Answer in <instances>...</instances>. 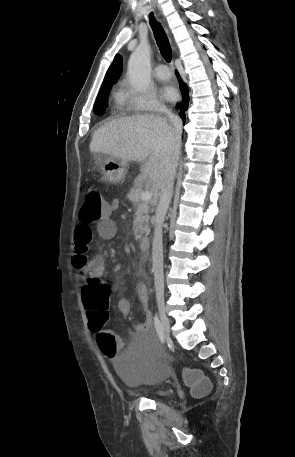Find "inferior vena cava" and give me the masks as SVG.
Returning <instances> with one entry per match:
<instances>
[{"label":"inferior vena cava","instance_id":"1","mask_svg":"<svg viewBox=\"0 0 295 457\" xmlns=\"http://www.w3.org/2000/svg\"><path fill=\"white\" fill-rule=\"evenodd\" d=\"M165 114L169 118L175 130V139L180 141L181 121L170 111ZM179 150L177 149L172 160L167 164L161 186L160 198L156 208L155 230L152 245V268L154 272V283L157 298L164 297V273H163V245H162V224L164 222L174 187V179L178 163Z\"/></svg>","mask_w":295,"mask_h":457}]
</instances>
